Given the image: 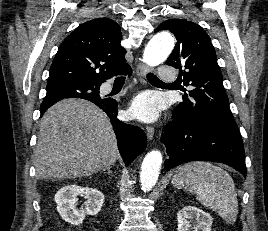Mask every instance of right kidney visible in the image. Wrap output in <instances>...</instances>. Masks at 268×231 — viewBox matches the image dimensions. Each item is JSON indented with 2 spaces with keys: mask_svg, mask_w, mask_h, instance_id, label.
Instances as JSON below:
<instances>
[{
  "mask_svg": "<svg viewBox=\"0 0 268 231\" xmlns=\"http://www.w3.org/2000/svg\"><path fill=\"white\" fill-rule=\"evenodd\" d=\"M77 196L84 197L87 201L85 208H76ZM57 211L66 222L80 225L86 215H96L104 203V195L95 188L81 187L76 184L62 187L55 195Z\"/></svg>",
  "mask_w": 268,
  "mask_h": 231,
  "instance_id": "obj_1",
  "label": "right kidney"
}]
</instances>
